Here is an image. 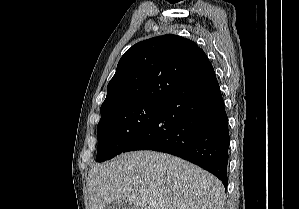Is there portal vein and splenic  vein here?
<instances>
[{
  "label": "portal vein and splenic vein",
  "instance_id": "1",
  "mask_svg": "<svg viewBox=\"0 0 299 209\" xmlns=\"http://www.w3.org/2000/svg\"><path fill=\"white\" fill-rule=\"evenodd\" d=\"M150 204H151V205H155V202H154V201H151Z\"/></svg>",
  "mask_w": 299,
  "mask_h": 209
}]
</instances>
